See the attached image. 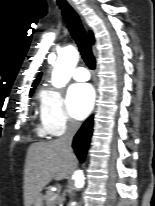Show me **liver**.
Segmentation results:
<instances>
[{
  "label": "liver",
  "mask_w": 155,
  "mask_h": 206,
  "mask_svg": "<svg viewBox=\"0 0 155 206\" xmlns=\"http://www.w3.org/2000/svg\"><path fill=\"white\" fill-rule=\"evenodd\" d=\"M74 162L75 155L64 147L60 139L33 143L28 149L24 169L25 206H31L52 179H65Z\"/></svg>",
  "instance_id": "1"
}]
</instances>
